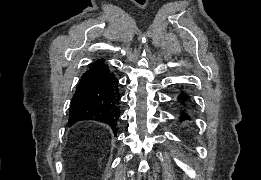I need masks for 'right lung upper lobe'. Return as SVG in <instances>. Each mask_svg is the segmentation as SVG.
I'll list each match as a JSON object with an SVG mask.
<instances>
[{
	"label": "right lung upper lobe",
	"instance_id": "cb5924a9",
	"mask_svg": "<svg viewBox=\"0 0 261 180\" xmlns=\"http://www.w3.org/2000/svg\"><path fill=\"white\" fill-rule=\"evenodd\" d=\"M100 61V59H98L96 62H99ZM101 61H102V59H101Z\"/></svg>",
	"mask_w": 261,
	"mask_h": 180
}]
</instances>
